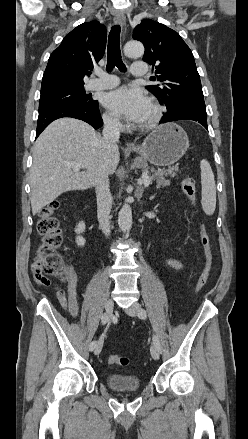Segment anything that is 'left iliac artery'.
<instances>
[{"label": "left iliac artery", "mask_w": 248, "mask_h": 439, "mask_svg": "<svg viewBox=\"0 0 248 439\" xmlns=\"http://www.w3.org/2000/svg\"><path fill=\"white\" fill-rule=\"evenodd\" d=\"M142 313H143V314H146L145 311H142ZM153 340H154V343L157 345L159 351L161 352V351H162V348H161V345H160V343H159V340H158L157 336L154 335Z\"/></svg>", "instance_id": "left-iliac-artery-1"}]
</instances>
